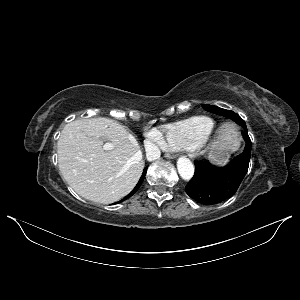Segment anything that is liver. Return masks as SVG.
Listing matches in <instances>:
<instances>
[{
    "label": "liver",
    "instance_id": "1",
    "mask_svg": "<svg viewBox=\"0 0 300 300\" xmlns=\"http://www.w3.org/2000/svg\"><path fill=\"white\" fill-rule=\"evenodd\" d=\"M103 141L113 144V148L104 150ZM233 144L231 130H221L215 147ZM57 153L64 180L83 198L103 204L129 194L144 168L136 138L123 125L108 118L67 124L58 140Z\"/></svg>",
    "mask_w": 300,
    "mask_h": 300
}]
</instances>
